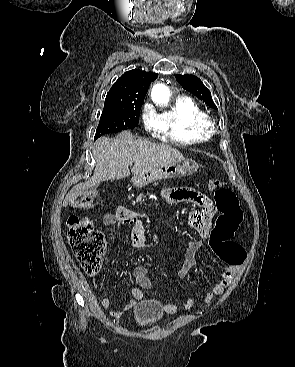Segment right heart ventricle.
Instances as JSON below:
<instances>
[{"label": "right heart ventricle", "instance_id": "1", "mask_svg": "<svg viewBox=\"0 0 295 367\" xmlns=\"http://www.w3.org/2000/svg\"><path fill=\"white\" fill-rule=\"evenodd\" d=\"M207 118L198 104L187 97L177 99L168 111L155 117L158 134L183 145L203 143L209 139L210 135L204 130Z\"/></svg>", "mask_w": 295, "mask_h": 367}]
</instances>
